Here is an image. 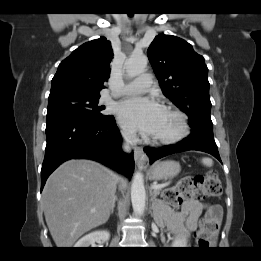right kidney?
I'll return each instance as SVG.
<instances>
[{"label":"right kidney","mask_w":261,"mask_h":261,"mask_svg":"<svg viewBox=\"0 0 261 261\" xmlns=\"http://www.w3.org/2000/svg\"><path fill=\"white\" fill-rule=\"evenodd\" d=\"M110 238V233L106 230L103 231H95L91 232L85 236H83L81 239H79L76 244L74 245L75 248H88V247H94L95 242L97 240H101L102 242L108 241Z\"/></svg>","instance_id":"ca27d5eb"}]
</instances>
